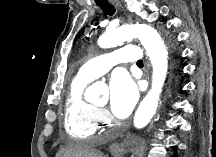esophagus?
Returning <instances> with one entry per match:
<instances>
[{"mask_svg": "<svg viewBox=\"0 0 216 157\" xmlns=\"http://www.w3.org/2000/svg\"><path fill=\"white\" fill-rule=\"evenodd\" d=\"M110 3L115 6L117 9L121 10L122 9V6L120 4V2L116 1V0H110ZM149 63L146 64V72H147V76H148V72H149ZM148 78V77H147ZM120 149L119 145L118 144H113L111 146V150L112 151H118Z\"/></svg>", "mask_w": 216, "mask_h": 157, "instance_id": "esophagus-1", "label": "esophagus"}]
</instances>
